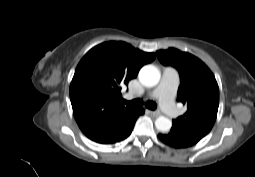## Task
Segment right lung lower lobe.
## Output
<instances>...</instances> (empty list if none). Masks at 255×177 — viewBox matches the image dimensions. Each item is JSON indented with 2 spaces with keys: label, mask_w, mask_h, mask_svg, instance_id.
Returning <instances> with one entry per match:
<instances>
[{
  "label": "right lung lower lobe",
  "mask_w": 255,
  "mask_h": 177,
  "mask_svg": "<svg viewBox=\"0 0 255 177\" xmlns=\"http://www.w3.org/2000/svg\"><path fill=\"white\" fill-rule=\"evenodd\" d=\"M142 114H144L143 108H129L83 133L97 143L114 144L131 134L137 118Z\"/></svg>",
  "instance_id": "98d812e1"
}]
</instances>
